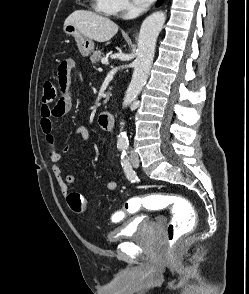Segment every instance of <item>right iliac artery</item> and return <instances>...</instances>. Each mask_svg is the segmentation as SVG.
<instances>
[{
    "mask_svg": "<svg viewBox=\"0 0 249 294\" xmlns=\"http://www.w3.org/2000/svg\"><path fill=\"white\" fill-rule=\"evenodd\" d=\"M121 151H125V149H127L126 145H121L118 147Z\"/></svg>",
    "mask_w": 249,
    "mask_h": 294,
    "instance_id": "1",
    "label": "right iliac artery"
}]
</instances>
